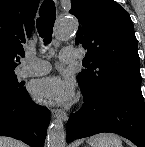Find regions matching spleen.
Listing matches in <instances>:
<instances>
[{"mask_svg": "<svg viewBox=\"0 0 145 147\" xmlns=\"http://www.w3.org/2000/svg\"><path fill=\"white\" fill-rule=\"evenodd\" d=\"M91 147H122L121 139L115 134L103 133L88 140Z\"/></svg>", "mask_w": 145, "mask_h": 147, "instance_id": "spleen-1", "label": "spleen"}]
</instances>
